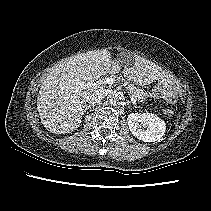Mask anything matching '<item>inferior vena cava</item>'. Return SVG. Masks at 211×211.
Masks as SVG:
<instances>
[{"instance_id":"1","label":"inferior vena cava","mask_w":211,"mask_h":211,"mask_svg":"<svg viewBox=\"0 0 211 211\" xmlns=\"http://www.w3.org/2000/svg\"><path fill=\"white\" fill-rule=\"evenodd\" d=\"M107 95L106 89L97 90L95 93L91 94L87 97L86 101L89 104H96L99 103L105 96Z\"/></svg>"}]
</instances>
